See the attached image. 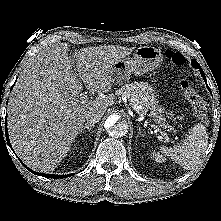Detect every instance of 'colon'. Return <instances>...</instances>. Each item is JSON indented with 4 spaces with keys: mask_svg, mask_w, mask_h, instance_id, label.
I'll return each instance as SVG.
<instances>
[{
    "mask_svg": "<svg viewBox=\"0 0 221 221\" xmlns=\"http://www.w3.org/2000/svg\"><path fill=\"white\" fill-rule=\"evenodd\" d=\"M166 55L177 66H182L186 62L185 57L178 52L168 50ZM179 83L185 97L193 106L196 117L206 122L208 119V107L204 99L195 91L186 75L182 74L180 76Z\"/></svg>",
    "mask_w": 221,
    "mask_h": 221,
    "instance_id": "1",
    "label": "colon"
}]
</instances>
